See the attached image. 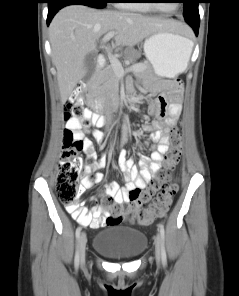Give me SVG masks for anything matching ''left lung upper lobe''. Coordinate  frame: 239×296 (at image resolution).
<instances>
[{
    "label": "left lung upper lobe",
    "mask_w": 239,
    "mask_h": 296,
    "mask_svg": "<svg viewBox=\"0 0 239 296\" xmlns=\"http://www.w3.org/2000/svg\"><path fill=\"white\" fill-rule=\"evenodd\" d=\"M184 18L186 22L200 21L198 4L199 0H184Z\"/></svg>",
    "instance_id": "left-lung-upper-lobe-1"
}]
</instances>
